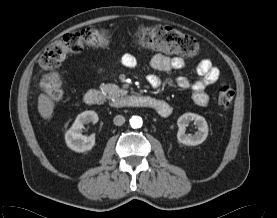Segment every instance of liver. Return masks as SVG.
Segmentation results:
<instances>
[{"mask_svg":"<svg viewBox=\"0 0 277 218\" xmlns=\"http://www.w3.org/2000/svg\"><path fill=\"white\" fill-rule=\"evenodd\" d=\"M55 103L46 94L41 93L38 97V112L43 119H50L54 111Z\"/></svg>","mask_w":277,"mask_h":218,"instance_id":"obj_1","label":"liver"}]
</instances>
